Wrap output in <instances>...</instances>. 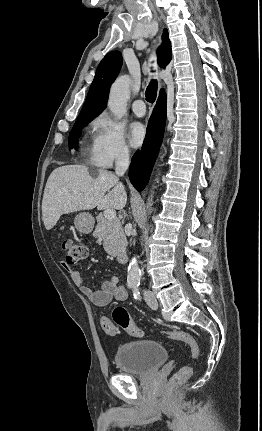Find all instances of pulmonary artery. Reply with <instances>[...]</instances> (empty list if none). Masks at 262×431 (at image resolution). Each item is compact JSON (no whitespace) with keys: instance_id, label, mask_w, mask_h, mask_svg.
<instances>
[{"instance_id":"e3ab8cb5","label":"pulmonary artery","mask_w":262,"mask_h":431,"mask_svg":"<svg viewBox=\"0 0 262 431\" xmlns=\"http://www.w3.org/2000/svg\"><path fill=\"white\" fill-rule=\"evenodd\" d=\"M132 111L136 116H143L146 112L145 103L142 99H137L132 104Z\"/></svg>"}]
</instances>
